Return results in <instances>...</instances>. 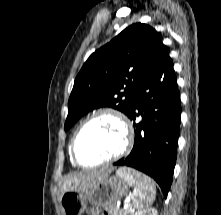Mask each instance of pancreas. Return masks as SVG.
Listing matches in <instances>:
<instances>
[{"label": "pancreas", "instance_id": "cf45deb5", "mask_svg": "<svg viewBox=\"0 0 221 215\" xmlns=\"http://www.w3.org/2000/svg\"><path fill=\"white\" fill-rule=\"evenodd\" d=\"M110 215H129L132 213L131 211V207H128L124 210H119L117 207H112V208H109V209H106ZM133 215V214H131Z\"/></svg>", "mask_w": 221, "mask_h": 215}]
</instances>
